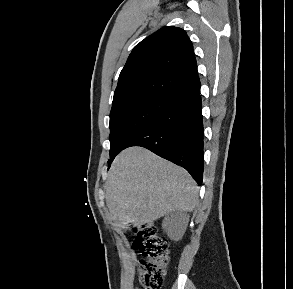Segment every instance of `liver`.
Masks as SVG:
<instances>
[{
    "instance_id": "liver-1",
    "label": "liver",
    "mask_w": 293,
    "mask_h": 289,
    "mask_svg": "<svg viewBox=\"0 0 293 289\" xmlns=\"http://www.w3.org/2000/svg\"><path fill=\"white\" fill-rule=\"evenodd\" d=\"M199 188L189 173L141 147L122 151L106 182V203L120 228L141 227L171 211H192Z\"/></svg>"
}]
</instances>
